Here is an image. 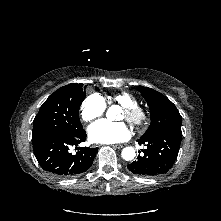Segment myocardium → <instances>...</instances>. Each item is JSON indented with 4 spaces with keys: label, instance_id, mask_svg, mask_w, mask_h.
<instances>
[{
    "label": "myocardium",
    "instance_id": "obj_1",
    "mask_svg": "<svg viewBox=\"0 0 221 221\" xmlns=\"http://www.w3.org/2000/svg\"><path fill=\"white\" fill-rule=\"evenodd\" d=\"M126 121L133 127H140L148 120V111L139 105L123 107Z\"/></svg>",
    "mask_w": 221,
    "mask_h": 221
}]
</instances>
